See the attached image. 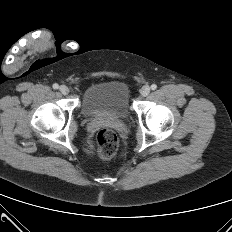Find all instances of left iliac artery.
<instances>
[{
    "instance_id": "left-iliac-artery-1",
    "label": "left iliac artery",
    "mask_w": 232,
    "mask_h": 232,
    "mask_svg": "<svg viewBox=\"0 0 232 232\" xmlns=\"http://www.w3.org/2000/svg\"><path fill=\"white\" fill-rule=\"evenodd\" d=\"M156 88H157V85H156V84H152V85H151V89H152V90H155Z\"/></svg>"
}]
</instances>
